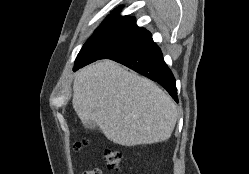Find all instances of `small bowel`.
<instances>
[{
    "instance_id": "small-bowel-1",
    "label": "small bowel",
    "mask_w": 249,
    "mask_h": 174,
    "mask_svg": "<svg viewBox=\"0 0 249 174\" xmlns=\"http://www.w3.org/2000/svg\"><path fill=\"white\" fill-rule=\"evenodd\" d=\"M83 174H103V172L101 169L95 168V169L86 171Z\"/></svg>"
}]
</instances>
